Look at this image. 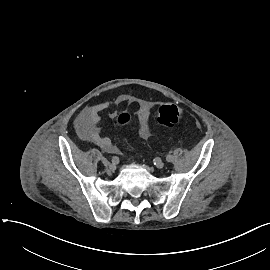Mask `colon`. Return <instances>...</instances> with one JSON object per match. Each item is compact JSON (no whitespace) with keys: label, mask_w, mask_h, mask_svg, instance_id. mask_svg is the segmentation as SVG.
Returning <instances> with one entry per match:
<instances>
[{"label":"colon","mask_w":270,"mask_h":270,"mask_svg":"<svg viewBox=\"0 0 270 270\" xmlns=\"http://www.w3.org/2000/svg\"><path fill=\"white\" fill-rule=\"evenodd\" d=\"M131 118V115L127 112L121 113L117 118L118 127H124L127 125ZM156 121L163 127H175L179 124H192V121L185 117L183 110L176 105H165L159 108L156 114Z\"/></svg>","instance_id":"obj_1"}]
</instances>
